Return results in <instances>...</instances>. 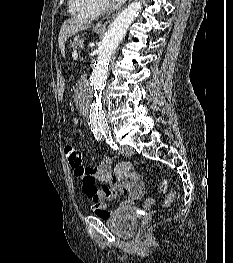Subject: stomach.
<instances>
[{
    "instance_id": "stomach-1",
    "label": "stomach",
    "mask_w": 233,
    "mask_h": 263,
    "mask_svg": "<svg viewBox=\"0 0 233 263\" xmlns=\"http://www.w3.org/2000/svg\"><path fill=\"white\" fill-rule=\"evenodd\" d=\"M101 31L102 30H100V29H95L96 33H101ZM54 81L58 82L57 85H56L58 91H65L66 88L70 87L69 83H65V78L64 77H55Z\"/></svg>"
}]
</instances>
